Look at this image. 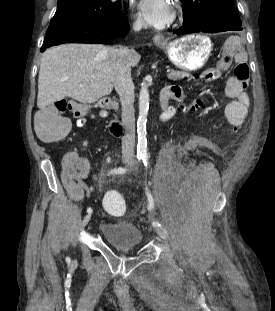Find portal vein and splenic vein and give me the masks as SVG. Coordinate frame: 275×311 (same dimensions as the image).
Returning a JSON list of instances; mask_svg holds the SVG:
<instances>
[{
    "label": "portal vein and splenic vein",
    "mask_w": 275,
    "mask_h": 311,
    "mask_svg": "<svg viewBox=\"0 0 275 311\" xmlns=\"http://www.w3.org/2000/svg\"><path fill=\"white\" fill-rule=\"evenodd\" d=\"M170 71H171L170 69H167V70H166L167 73H169Z\"/></svg>",
    "instance_id": "obj_1"
}]
</instances>
